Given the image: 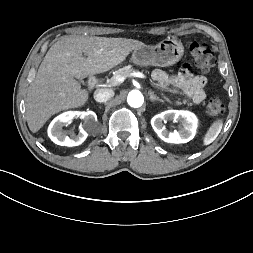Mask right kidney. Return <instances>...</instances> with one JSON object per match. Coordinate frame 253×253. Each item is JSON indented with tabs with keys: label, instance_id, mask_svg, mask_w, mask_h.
Listing matches in <instances>:
<instances>
[{
	"label": "right kidney",
	"instance_id": "1",
	"mask_svg": "<svg viewBox=\"0 0 253 253\" xmlns=\"http://www.w3.org/2000/svg\"><path fill=\"white\" fill-rule=\"evenodd\" d=\"M74 117H80L84 120L83 127L80 128L79 134L71 132L69 136L62 130V127L70 123ZM97 121V116L93 111H68L54 118L48 128L50 139L57 145L61 146H78L87 138L88 130L93 123Z\"/></svg>",
	"mask_w": 253,
	"mask_h": 253
}]
</instances>
